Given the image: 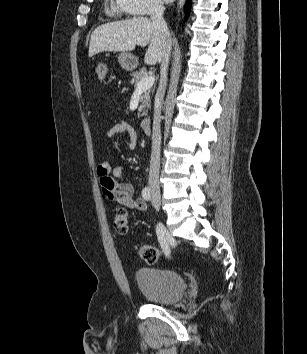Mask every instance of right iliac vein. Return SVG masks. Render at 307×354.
Wrapping results in <instances>:
<instances>
[{"mask_svg":"<svg viewBox=\"0 0 307 354\" xmlns=\"http://www.w3.org/2000/svg\"><path fill=\"white\" fill-rule=\"evenodd\" d=\"M154 199H155V201H156L157 204H159V205L161 204V201H160L159 198L155 197Z\"/></svg>","mask_w":307,"mask_h":354,"instance_id":"63e3f726","label":"right iliac vein"}]
</instances>
